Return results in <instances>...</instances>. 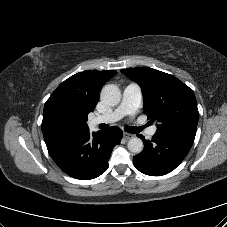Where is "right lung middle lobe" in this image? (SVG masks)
Segmentation results:
<instances>
[{
	"label": "right lung middle lobe",
	"instance_id": "obj_1",
	"mask_svg": "<svg viewBox=\"0 0 227 227\" xmlns=\"http://www.w3.org/2000/svg\"><path fill=\"white\" fill-rule=\"evenodd\" d=\"M71 115L68 111L57 109L52 115V122L55 125H65L70 120Z\"/></svg>",
	"mask_w": 227,
	"mask_h": 227
}]
</instances>
